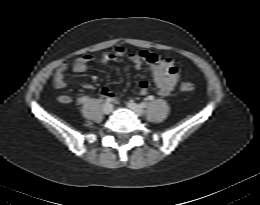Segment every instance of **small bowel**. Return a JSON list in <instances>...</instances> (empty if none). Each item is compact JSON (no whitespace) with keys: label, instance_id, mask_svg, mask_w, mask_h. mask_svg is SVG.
Instances as JSON below:
<instances>
[{"label":"small bowel","instance_id":"obj_1","mask_svg":"<svg viewBox=\"0 0 260 205\" xmlns=\"http://www.w3.org/2000/svg\"><path fill=\"white\" fill-rule=\"evenodd\" d=\"M126 55V49L123 46H117L112 51L104 53L100 57L94 55H86L75 61H64L58 67L53 75V87L59 92L57 99L62 104H69L72 101L70 95L62 93L61 91L67 88L66 73L70 68H73L77 72L85 71L90 64L99 63L107 64L110 62H118ZM129 61L134 68L139 69L143 64L147 65L150 69L155 89L161 96H169L174 90L178 79L179 71L176 68L174 62L170 58H160L156 54L141 51L140 53H130L127 55ZM85 88L92 89L91 84H86ZM149 85L146 81H141L139 84V94L145 95L148 93ZM100 94L113 102H118L117 97L112 93L108 87H103L100 90ZM85 97L79 98V103H84Z\"/></svg>","mask_w":260,"mask_h":205}]
</instances>
